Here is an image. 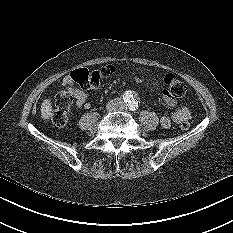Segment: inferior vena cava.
Instances as JSON below:
<instances>
[{"label":"inferior vena cava","instance_id":"obj_1","mask_svg":"<svg viewBox=\"0 0 233 233\" xmlns=\"http://www.w3.org/2000/svg\"><path fill=\"white\" fill-rule=\"evenodd\" d=\"M121 108H122V104H121V102H118V101L112 100V101L108 102V104H107V109L109 111L121 110Z\"/></svg>","mask_w":233,"mask_h":233}]
</instances>
